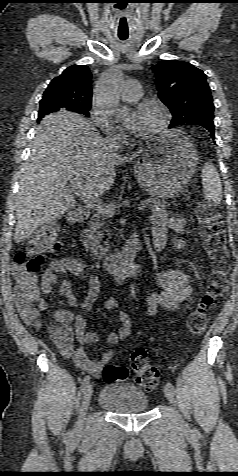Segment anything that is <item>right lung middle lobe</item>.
Wrapping results in <instances>:
<instances>
[{
	"instance_id": "right-lung-middle-lobe-1",
	"label": "right lung middle lobe",
	"mask_w": 238,
	"mask_h": 476,
	"mask_svg": "<svg viewBox=\"0 0 238 476\" xmlns=\"http://www.w3.org/2000/svg\"><path fill=\"white\" fill-rule=\"evenodd\" d=\"M89 109L90 108H85L83 110H80L79 113L89 116V112H88ZM59 110L64 111L61 108H59L56 104L49 103V102H40L38 119H41L46 114L56 112Z\"/></svg>"
}]
</instances>
